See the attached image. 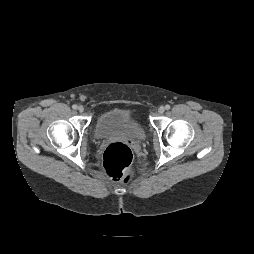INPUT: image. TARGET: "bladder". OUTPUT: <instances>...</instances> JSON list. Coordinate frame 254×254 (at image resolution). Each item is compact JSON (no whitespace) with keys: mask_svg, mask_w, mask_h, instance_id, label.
<instances>
[{"mask_svg":"<svg viewBox=\"0 0 254 254\" xmlns=\"http://www.w3.org/2000/svg\"><path fill=\"white\" fill-rule=\"evenodd\" d=\"M94 134L98 139L127 137L140 140L145 137L141 124L129 110L112 108L102 112L96 119Z\"/></svg>","mask_w":254,"mask_h":254,"instance_id":"1","label":"bladder"}]
</instances>
